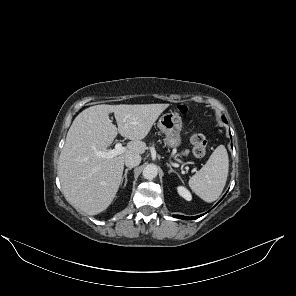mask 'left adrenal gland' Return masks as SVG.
<instances>
[{"label": "left adrenal gland", "instance_id": "obj_1", "mask_svg": "<svg viewBox=\"0 0 296 296\" xmlns=\"http://www.w3.org/2000/svg\"><path fill=\"white\" fill-rule=\"evenodd\" d=\"M167 166L170 169L169 172H168L169 174L170 173H175L179 178H181L180 175L172 168V166L169 163H167Z\"/></svg>", "mask_w": 296, "mask_h": 296}]
</instances>
